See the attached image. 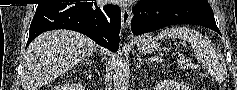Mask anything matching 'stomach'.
Segmentation results:
<instances>
[{
  "label": "stomach",
  "mask_w": 237,
  "mask_h": 90,
  "mask_svg": "<svg viewBox=\"0 0 237 90\" xmlns=\"http://www.w3.org/2000/svg\"><path fill=\"white\" fill-rule=\"evenodd\" d=\"M159 47L158 39L151 35H145L137 42V48L140 53L150 54Z\"/></svg>",
  "instance_id": "1"
}]
</instances>
